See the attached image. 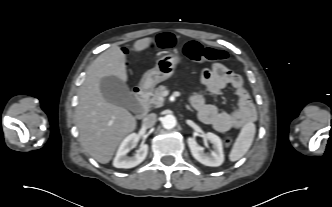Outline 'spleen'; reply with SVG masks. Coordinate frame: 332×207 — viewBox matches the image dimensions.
Instances as JSON below:
<instances>
[{"instance_id": "3e777b00", "label": "spleen", "mask_w": 332, "mask_h": 207, "mask_svg": "<svg viewBox=\"0 0 332 207\" xmlns=\"http://www.w3.org/2000/svg\"><path fill=\"white\" fill-rule=\"evenodd\" d=\"M255 133L256 127L254 123L249 122L243 126L229 154L230 161H237L247 153L252 145Z\"/></svg>"}]
</instances>
